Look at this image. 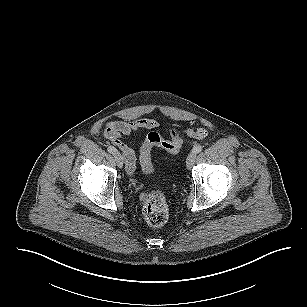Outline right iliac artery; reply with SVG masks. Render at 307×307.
Returning a JSON list of instances; mask_svg holds the SVG:
<instances>
[{"label":"right iliac artery","mask_w":307,"mask_h":307,"mask_svg":"<svg viewBox=\"0 0 307 307\" xmlns=\"http://www.w3.org/2000/svg\"><path fill=\"white\" fill-rule=\"evenodd\" d=\"M107 150H108V152H110L111 154H114V153L117 152V149H116L115 147H113V146H109V147L107 148Z\"/></svg>","instance_id":"1"}]
</instances>
